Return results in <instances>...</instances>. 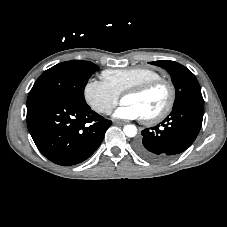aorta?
Wrapping results in <instances>:
<instances>
[{
  "label": "aorta",
  "instance_id": "762f6f07",
  "mask_svg": "<svg viewBox=\"0 0 227 227\" xmlns=\"http://www.w3.org/2000/svg\"><path fill=\"white\" fill-rule=\"evenodd\" d=\"M124 134L127 137H135L137 134V128L135 125L129 124V125H125L123 128Z\"/></svg>",
  "mask_w": 227,
  "mask_h": 227
}]
</instances>
